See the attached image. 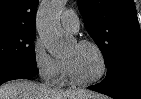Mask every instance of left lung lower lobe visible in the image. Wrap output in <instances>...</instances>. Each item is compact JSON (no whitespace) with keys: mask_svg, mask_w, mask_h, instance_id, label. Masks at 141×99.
<instances>
[{"mask_svg":"<svg viewBox=\"0 0 141 99\" xmlns=\"http://www.w3.org/2000/svg\"><path fill=\"white\" fill-rule=\"evenodd\" d=\"M88 88L114 99H141V67L124 68Z\"/></svg>","mask_w":141,"mask_h":99,"instance_id":"1","label":"left lung lower lobe"}]
</instances>
